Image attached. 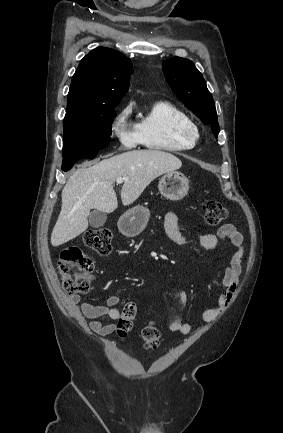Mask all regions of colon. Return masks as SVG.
<instances>
[{
    "label": "colon",
    "mask_w": 283,
    "mask_h": 433,
    "mask_svg": "<svg viewBox=\"0 0 283 433\" xmlns=\"http://www.w3.org/2000/svg\"><path fill=\"white\" fill-rule=\"evenodd\" d=\"M203 219L210 226L223 222L228 213L216 200H206L202 204ZM84 243L99 255H107L111 250V234L105 229L90 230L84 235ZM93 270L92 260L78 247H67L60 253L58 272L62 278L64 291L72 296L84 293L89 289V275ZM137 307L134 303L125 304L118 322L116 332L124 338L133 327ZM144 347L155 350L160 342V332L153 323L146 324L141 332Z\"/></svg>",
    "instance_id": "obj_1"
}]
</instances>
